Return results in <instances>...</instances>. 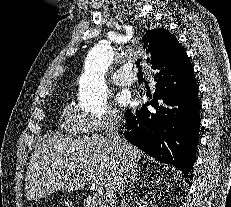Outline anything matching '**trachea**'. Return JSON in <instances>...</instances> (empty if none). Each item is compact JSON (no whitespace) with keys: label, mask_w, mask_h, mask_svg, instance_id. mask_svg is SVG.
<instances>
[{"label":"trachea","mask_w":231,"mask_h":207,"mask_svg":"<svg viewBox=\"0 0 231 207\" xmlns=\"http://www.w3.org/2000/svg\"><path fill=\"white\" fill-rule=\"evenodd\" d=\"M141 59H138L135 64H136V67L138 68V73H137V76L138 77H141L142 76V70H141V66H140V63H141Z\"/></svg>","instance_id":"obj_1"}]
</instances>
